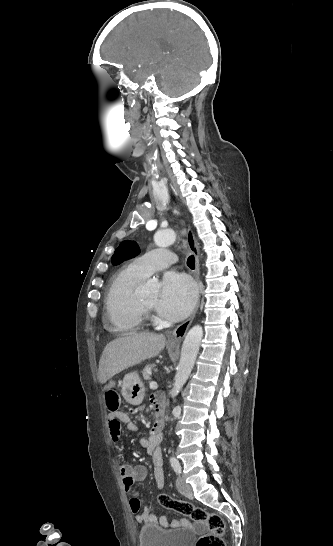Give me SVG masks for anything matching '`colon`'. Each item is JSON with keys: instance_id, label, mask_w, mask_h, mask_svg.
Masks as SVG:
<instances>
[{"instance_id": "5ec220e1", "label": "colon", "mask_w": 333, "mask_h": 546, "mask_svg": "<svg viewBox=\"0 0 333 546\" xmlns=\"http://www.w3.org/2000/svg\"><path fill=\"white\" fill-rule=\"evenodd\" d=\"M105 399L109 411L118 410L120 396L117 391L106 392ZM158 501L165 509L173 510L190 517L193 521L207 525L208 532L198 539L196 546H226L224 542L225 522L219 514L209 513L188 501L173 499L166 494L159 495Z\"/></svg>"}]
</instances>
